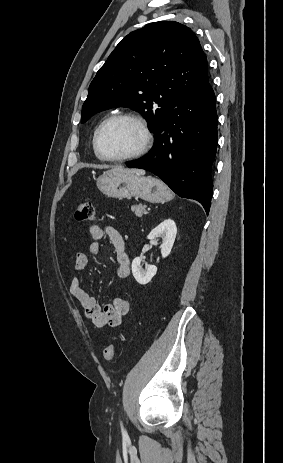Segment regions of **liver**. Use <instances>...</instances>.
Here are the masks:
<instances>
[{
  "label": "liver",
  "instance_id": "6515ba94",
  "mask_svg": "<svg viewBox=\"0 0 283 463\" xmlns=\"http://www.w3.org/2000/svg\"><path fill=\"white\" fill-rule=\"evenodd\" d=\"M110 171L119 172V173H135L138 175H145V171L141 169H125L123 167H116Z\"/></svg>",
  "mask_w": 283,
  "mask_h": 463
}]
</instances>
